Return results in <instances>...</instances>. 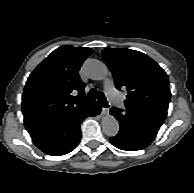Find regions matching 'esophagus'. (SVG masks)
Instances as JSON below:
<instances>
[{
  "label": "esophagus",
  "instance_id": "34e87169",
  "mask_svg": "<svg viewBox=\"0 0 194 193\" xmlns=\"http://www.w3.org/2000/svg\"><path fill=\"white\" fill-rule=\"evenodd\" d=\"M102 114L103 115H108L109 114V109L108 108H105V107H102Z\"/></svg>",
  "mask_w": 194,
  "mask_h": 193
}]
</instances>
